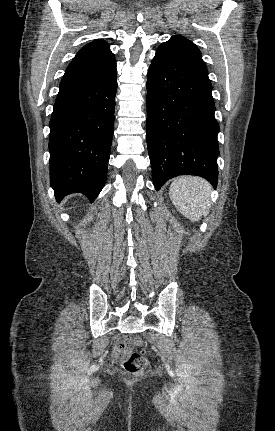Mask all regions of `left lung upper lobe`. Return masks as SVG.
Instances as JSON below:
<instances>
[{
    "instance_id": "obj_1",
    "label": "left lung upper lobe",
    "mask_w": 275,
    "mask_h": 431,
    "mask_svg": "<svg viewBox=\"0 0 275 431\" xmlns=\"http://www.w3.org/2000/svg\"><path fill=\"white\" fill-rule=\"evenodd\" d=\"M160 46H167L181 54L190 64L195 66V68L206 78L210 87H212L201 52L192 41L183 36L174 35L169 41L162 43Z\"/></svg>"
}]
</instances>
